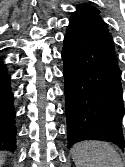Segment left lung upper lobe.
<instances>
[{
    "mask_svg": "<svg viewBox=\"0 0 125 167\" xmlns=\"http://www.w3.org/2000/svg\"><path fill=\"white\" fill-rule=\"evenodd\" d=\"M99 10L91 5L80 4L71 18L98 16Z\"/></svg>",
    "mask_w": 125,
    "mask_h": 167,
    "instance_id": "1",
    "label": "left lung upper lobe"
}]
</instances>
